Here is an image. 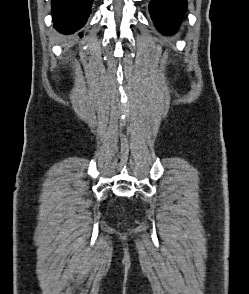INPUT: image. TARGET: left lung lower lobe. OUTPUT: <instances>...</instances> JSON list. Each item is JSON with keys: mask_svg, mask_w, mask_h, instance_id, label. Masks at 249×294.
Returning <instances> with one entry per match:
<instances>
[{"mask_svg": "<svg viewBox=\"0 0 249 294\" xmlns=\"http://www.w3.org/2000/svg\"><path fill=\"white\" fill-rule=\"evenodd\" d=\"M186 8L187 0H153L149 5L155 26L165 34L176 30Z\"/></svg>", "mask_w": 249, "mask_h": 294, "instance_id": "left-lung-lower-lobe-1", "label": "left lung lower lobe"}]
</instances>
